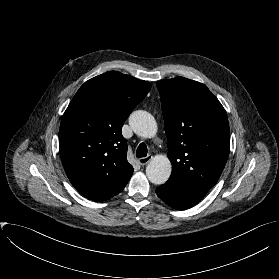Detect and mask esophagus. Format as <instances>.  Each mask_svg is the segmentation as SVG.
Instances as JSON below:
<instances>
[{
  "label": "esophagus",
  "instance_id": "34e87169",
  "mask_svg": "<svg viewBox=\"0 0 279 279\" xmlns=\"http://www.w3.org/2000/svg\"><path fill=\"white\" fill-rule=\"evenodd\" d=\"M152 155H148L146 157H142L138 160L139 164L144 166L147 165L152 160Z\"/></svg>",
  "mask_w": 279,
  "mask_h": 279
}]
</instances>
